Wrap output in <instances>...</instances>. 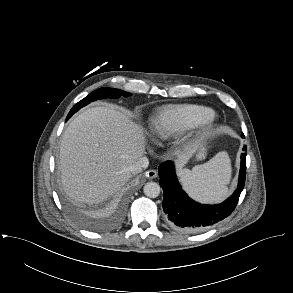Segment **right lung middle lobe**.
<instances>
[{"mask_svg": "<svg viewBox=\"0 0 293 293\" xmlns=\"http://www.w3.org/2000/svg\"><path fill=\"white\" fill-rule=\"evenodd\" d=\"M121 95L123 96H129L130 93H127L125 91L114 89V88H100L92 93H90L87 97L79 101L77 104L74 105V107L70 110L67 119L68 120L75 112H77L80 108L88 105L89 103L97 100V99H103V98H119Z\"/></svg>", "mask_w": 293, "mask_h": 293, "instance_id": "dd1d6c3e", "label": "right lung middle lobe"}]
</instances>
